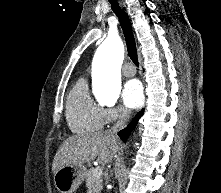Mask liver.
<instances>
[{
  "mask_svg": "<svg viewBox=\"0 0 221 193\" xmlns=\"http://www.w3.org/2000/svg\"><path fill=\"white\" fill-rule=\"evenodd\" d=\"M119 149V139L109 131L75 135L67 138L54 156L52 171L66 165L82 166L95 158L100 164L109 163Z\"/></svg>",
  "mask_w": 221,
  "mask_h": 193,
  "instance_id": "6515ba94",
  "label": "liver"
}]
</instances>
